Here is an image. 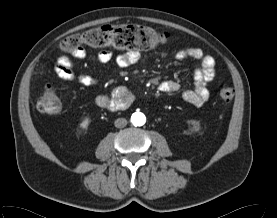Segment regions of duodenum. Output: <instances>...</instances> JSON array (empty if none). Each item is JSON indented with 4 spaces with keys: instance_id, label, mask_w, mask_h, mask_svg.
Segmentation results:
<instances>
[{
    "instance_id": "obj_1",
    "label": "duodenum",
    "mask_w": 277,
    "mask_h": 218,
    "mask_svg": "<svg viewBox=\"0 0 277 218\" xmlns=\"http://www.w3.org/2000/svg\"><path fill=\"white\" fill-rule=\"evenodd\" d=\"M131 101H132V97H131V94L129 93L114 100H110L104 95H99L96 98V102L98 106L102 108L110 107L113 111L125 109L131 104Z\"/></svg>"
}]
</instances>
